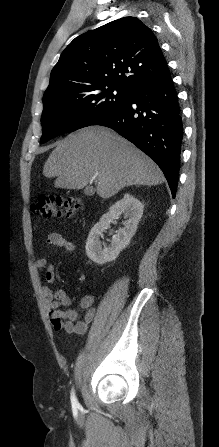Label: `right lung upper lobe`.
Wrapping results in <instances>:
<instances>
[{"label": "right lung upper lobe", "instance_id": "cb5924a9", "mask_svg": "<svg viewBox=\"0 0 219 447\" xmlns=\"http://www.w3.org/2000/svg\"><path fill=\"white\" fill-rule=\"evenodd\" d=\"M168 72L151 29L135 17H124L76 37L52 69L44 96L87 93L103 85L134 92Z\"/></svg>", "mask_w": 219, "mask_h": 447}]
</instances>
